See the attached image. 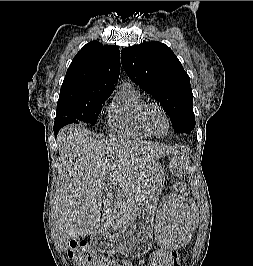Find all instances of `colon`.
<instances>
[{
	"mask_svg": "<svg viewBox=\"0 0 253 266\" xmlns=\"http://www.w3.org/2000/svg\"><path fill=\"white\" fill-rule=\"evenodd\" d=\"M68 255L78 266H124V262L100 255L87 242L72 240ZM148 266H180L179 255L173 251H155Z\"/></svg>",
	"mask_w": 253,
	"mask_h": 266,
	"instance_id": "colon-1",
	"label": "colon"
}]
</instances>
